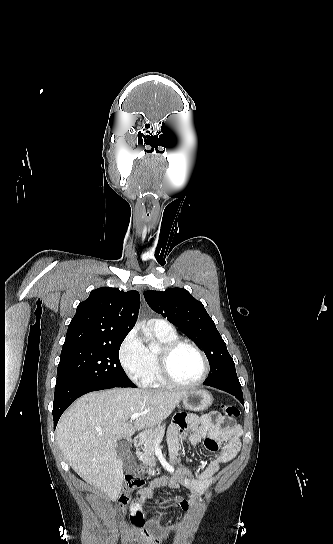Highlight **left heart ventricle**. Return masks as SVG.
<instances>
[{
  "instance_id": "obj_1",
  "label": "left heart ventricle",
  "mask_w": 333,
  "mask_h": 544,
  "mask_svg": "<svg viewBox=\"0 0 333 544\" xmlns=\"http://www.w3.org/2000/svg\"><path fill=\"white\" fill-rule=\"evenodd\" d=\"M204 365L200 355L189 347L180 348L171 360L173 376L180 382L190 383L199 379Z\"/></svg>"
}]
</instances>
